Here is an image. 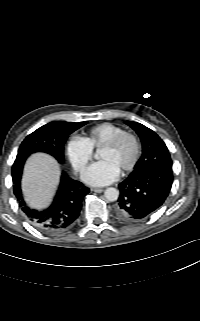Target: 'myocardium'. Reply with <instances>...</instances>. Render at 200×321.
Instances as JSON below:
<instances>
[{
  "label": "myocardium",
  "instance_id": "myocardium-1",
  "mask_svg": "<svg viewBox=\"0 0 200 321\" xmlns=\"http://www.w3.org/2000/svg\"><path fill=\"white\" fill-rule=\"evenodd\" d=\"M125 138H129L132 140V142L134 144V154H133V157H132L131 161L129 162V164L126 165L121 170V173H123V174L128 173L131 170H133L139 160V157L141 154V143H140L138 136L136 134H134L133 132L123 131V132L115 135L113 138H111L110 140H108L106 143H104L101 146V149L102 148L112 149V148H115L116 146H118V144Z\"/></svg>",
  "mask_w": 200,
  "mask_h": 321
}]
</instances>
